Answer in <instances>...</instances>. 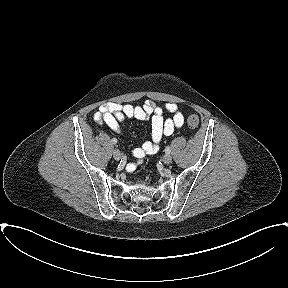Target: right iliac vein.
Segmentation results:
<instances>
[{
	"mask_svg": "<svg viewBox=\"0 0 288 288\" xmlns=\"http://www.w3.org/2000/svg\"><path fill=\"white\" fill-rule=\"evenodd\" d=\"M113 157L116 161H119L121 159V153L119 150H114L113 151Z\"/></svg>",
	"mask_w": 288,
	"mask_h": 288,
	"instance_id": "right-iliac-vein-1",
	"label": "right iliac vein"
}]
</instances>
